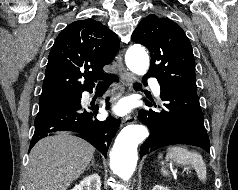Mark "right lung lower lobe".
Masks as SVG:
<instances>
[{"label":"right lung lower lobe","instance_id":"right-lung-lower-lobe-1","mask_svg":"<svg viewBox=\"0 0 238 190\" xmlns=\"http://www.w3.org/2000/svg\"><path fill=\"white\" fill-rule=\"evenodd\" d=\"M108 80L110 82L118 81V77L112 75ZM97 109V107H94L85 110L79 102V104L73 106L38 113L35 119V132L30 143V149L45 134L68 130L80 133L82 138L106 156L111 139L119 129L120 121L111 116L105 121L97 120L95 118Z\"/></svg>","mask_w":238,"mask_h":190}]
</instances>
